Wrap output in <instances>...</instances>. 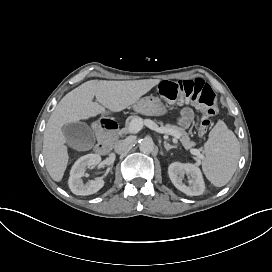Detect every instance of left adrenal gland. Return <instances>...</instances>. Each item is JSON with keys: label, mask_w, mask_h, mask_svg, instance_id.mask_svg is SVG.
<instances>
[{"label": "left adrenal gland", "mask_w": 272, "mask_h": 272, "mask_svg": "<svg viewBox=\"0 0 272 272\" xmlns=\"http://www.w3.org/2000/svg\"><path fill=\"white\" fill-rule=\"evenodd\" d=\"M164 147H165V149H166L167 151L170 150V149H172V148H177L176 145H175V146L170 145V144L167 143L166 141H164Z\"/></svg>", "instance_id": "a2214340"}]
</instances>
